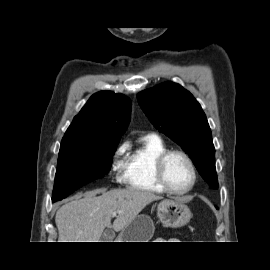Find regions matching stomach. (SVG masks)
Here are the masks:
<instances>
[{"instance_id":"1","label":"stomach","mask_w":270,"mask_h":270,"mask_svg":"<svg viewBox=\"0 0 270 270\" xmlns=\"http://www.w3.org/2000/svg\"><path fill=\"white\" fill-rule=\"evenodd\" d=\"M157 216L166 227L178 228L186 225L191 211L182 201L163 200L158 204ZM154 233V224L147 215H137L131 223L121 230L119 242H148Z\"/></svg>"}]
</instances>
